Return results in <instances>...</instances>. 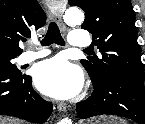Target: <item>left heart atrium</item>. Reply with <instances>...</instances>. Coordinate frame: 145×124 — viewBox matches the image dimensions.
Wrapping results in <instances>:
<instances>
[{"label": "left heart atrium", "mask_w": 145, "mask_h": 124, "mask_svg": "<svg viewBox=\"0 0 145 124\" xmlns=\"http://www.w3.org/2000/svg\"><path fill=\"white\" fill-rule=\"evenodd\" d=\"M34 83L43 93L69 99L79 93L83 75L78 67L62 56H56L39 63L34 69Z\"/></svg>", "instance_id": "left-heart-atrium-1"}]
</instances>
